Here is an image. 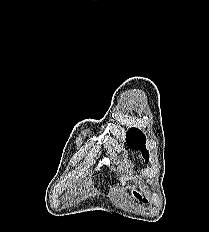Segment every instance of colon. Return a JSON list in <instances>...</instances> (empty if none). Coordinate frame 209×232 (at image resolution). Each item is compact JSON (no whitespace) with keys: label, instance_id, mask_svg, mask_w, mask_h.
Wrapping results in <instances>:
<instances>
[{"label":"colon","instance_id":"5ec220e1","mask_svg":"<svg viewBox=\"0 0 209 232\" xmlns=\"http://www.w3.org/2000/svg\"><path fill=\"white\" fill-rule=\"evenodd\" d=\"M134 194H135V196H136V197H139V198H140V196H139V194H138V193H136V192H135Z\"/></svg>","mask_w":209,"mask_h":232}]
</instances>
